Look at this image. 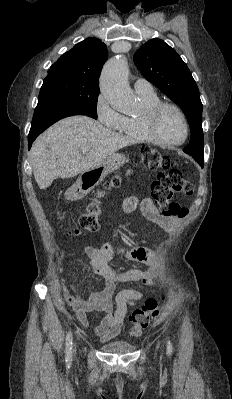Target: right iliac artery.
I'll use <instances>...</instances> for the list:
<instances>
[{
    "instance_id": "82829eb1",
    "label": "right iliac artery",
    "mask_w": 232,
    "mask_h": 399,
    "mask_svg": "<svg viewBox=\"0 0 232 399\" xmlns=\"http://www.w3.org/2000/svg\"><path fill=\"white\" fill-rule=\"evenodd\" d=\"M66 363L71 364L72 361V333L69 331L66 336Z\"/></svg>"
}]
</instances>
